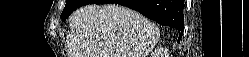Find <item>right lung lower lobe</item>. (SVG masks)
<instances>
[{
  "instance_id": "98d812e1",
  "label": "right lung lower lobe",
  "mask_w": 249,
  "mask_h": 57,
  "mask_svg": "<svg viewBox=\"0 0 249 57\" xmlns=\"http://www.w3.org/2000/svg\"><path fill=\"white\" fill-rule=\"evenodd\" d=\"M105 3H116L132 8L161 25L174 27L183 32V0H92L90 2V4Z\"/></svg>"
}]
</instances>
